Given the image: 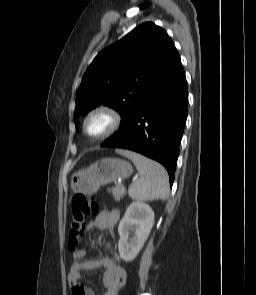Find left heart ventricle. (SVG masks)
<instances>
[{"instance_id":"b2bd125f","label":"left heart ventricle","mask_w":256,"mask_h":295,"mask_svg":"<svg viewBox=\"0 0 256 295\" xmlns=\"http://www.w3.org/2000/svg\"><path fill=\"white\" fill-rule=\"evenodd\" d=\"M105 127L106 119L103 116H96L88 122L86 131L90 136H94L101 133Z\"/></svg>"}]
</instances>
